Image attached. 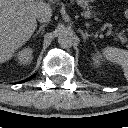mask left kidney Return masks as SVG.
I'll use <instances>...</instances> for the list:
<instances>
[{
  "label": "left kidney",
  "instance_id": "obj_1",
  "mask_svg": "<svg viewBox=\"0 0 128 128\" xmlns=\"http://www.w3.org/2000/svg\"><path fill=\"white\" fill-rule=\"evenodd\" d=\"M92 59H93L94 66L99 67L101 64L100 56L98 54H95V55H93Z\"/></svg>",
  "mask_w": 128,
  "mask_h": 128
}]
</instances>
